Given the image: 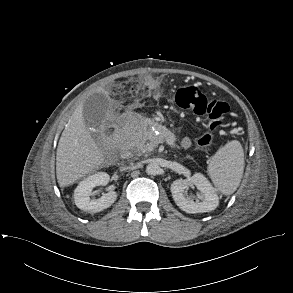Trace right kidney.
Here are the masks:
<instances>
[{
    "label": "right kidney",
    "mask_w": 293,
    "mask_h": 293,
    "mask_svg": "<svg viewBox=\"0 0 293 293\" xmlns=\"http://www.w3.org/2000/svg\"><path fill=\"white\" fill-rule=\"evenodd\" d=\"M110 176L106 172L93 174L79 183L74 190V201L76 206L86 212L96 213L110 207L117 198L115 191L103 194L99 199H91L93 188L106 185Z\"/></svg>",
    "instance_id": "ca27d5eb"
}]
</instances>
